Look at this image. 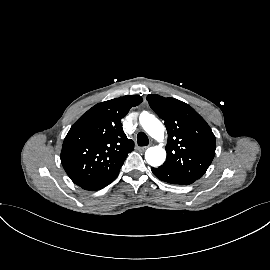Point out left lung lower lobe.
Returning <instances> with one entry per match:
<instances>
[{"instance_id":"0a47b994","label":"left lung lower lobe","mask_w":270,"mask_h":270,"mask_svg":"<svg viewBox=\"0 0 270 270\" xmlns=\"http://www.w3.org/2000/svg\"><path fill=\"white\" fill-rule=\"evenodd\" d=\"M151 170L158 179L164 182L178 184V185H189L195 182V179L178 171L164 169L161 167H158V168L152 167Z\"/></svg>"}]
</instances>
